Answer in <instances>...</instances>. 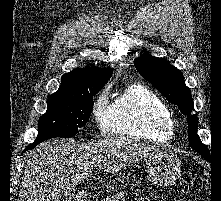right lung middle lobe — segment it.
Here are the masks:
<instances>
[{"mask_svg":"<svg viewBox=\"0 0 221 201\" xmlns=\"http://www.w3.org/2000/svg\"><path fill=\"white\" fill-rule=\"evenodd\" d=\"M69 96L54 93L48 97L47 111L38 122V136L35 141L56 137H72L77 129L89 121L93 107V96Z\"/></svg>","mask_w":221,"mask_h":201,"instance_id":"right-lung-middle-lobe-1","label":"right lung middle lobe"}]
</instances>
